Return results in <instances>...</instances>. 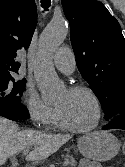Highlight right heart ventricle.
Returning a JSON list of instances; mask_svg holds the SVG:
<instances>
[{
    "label": "right heart ventricle",
    "mask_w": 125,
    "mask_h": 167,
    "mask_svg": "<svg viewBox=\"0 0 125 167\" xmlns=\"http://www.w3.org/2000/svg\"><path fill=\"white\" fill-rule=\"evenodd\" d=\"M52 125L55 126V127H60L58 115H56V117H55V119H54Z\"/></svg>",
    "instance_id": "1"
}]
</instances>
